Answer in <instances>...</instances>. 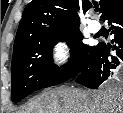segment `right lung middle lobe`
I'll use <instances>...</instances> for the list:
<instances>
[{"instance_id": "dd1d6c3e", "label": "right lung middle lobe", "mask_w": 123, "mask_h": 113, "mask_svg": "<svg viewBox=\"0 0 123 113\" xmlns=\"http://www.w3.org/2000/svg\"><path fill=\"white\" fill-rule=\"evenodd\" d=\"M82 39L77 28L15 47L11 63L12 101L17 103L36 90L58 85L80 74L95 48L82 43ZM59 41L71 46L70 61L60 68L52 63V48Z\"/></svg>"}]
</instances>
